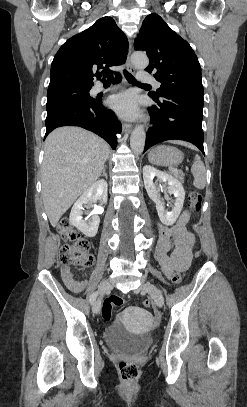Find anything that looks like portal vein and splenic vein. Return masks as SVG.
Returning <instances> with one entry per match:
<instances>
[{
    "instance_id": "1",
    "label": "portal vein and splenic vein",
    "mask_w": 247,
    "mask_h": 407,
    "mask_svg": "<svg viewBox=\"0 0 247 407\" xmlns=\"http://www.w3.org/2000/svg\"><path fill=\"white\" fill-rule=\"evenodd\" d=\"M170 170H171V171H176V170H175V169H173V168H170Z\"/></svg>"
}]
</instances>
